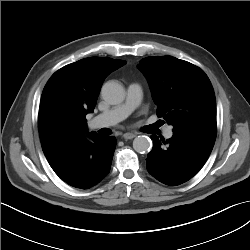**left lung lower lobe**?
Instances as JSON below:
<instances>
[{
  "label": "left lung lower lobe",
  "instance_id": "0a47b994",
  "mask_svg": "<svg viewBox=\"0 0 250 250\" xmlns=\"http://www.w3.org/2000/svg\"><path fill=\"white\" fill-rule=\"evenodd\" d=\"M216 133L176 131L166 141L153 135L154 145L146 159L148 172L166 185L175 186L188 181L207 161Z\"/></svg>",
  "mask_w": 250,
  "mask_h": 250
}]
</instances>
